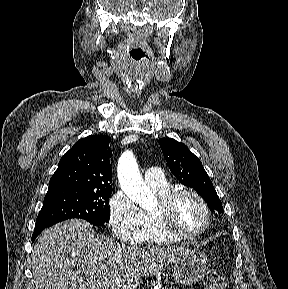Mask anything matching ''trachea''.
Masks as SVG:
<instances>
[{"mask_svg": "<svg viewBox=\"0 0 288 289\" xmlns=\"http://www.w3.org/2000/svg\"><path fill=\"white\" fill-rule=\"evenodd\" d=\"M129 56L134 63H140L141 60L145 58V53H143L141 50L133 49L130 51Z\"/></svg>", "mask_w": 288, "mask_h": 289, "instance_id": "trachea-1", "label": "trachea"}]
</instances>
